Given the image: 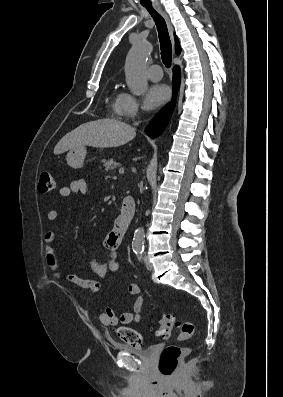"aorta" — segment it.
I'll use <instances>...</instances> for the list:
<instances>
[{"label":"aorta","mask_w":283,"mask_h":397,"mask_svg":"<svg viewBox=\"0 0 283 397\" xmlns=\"http://www.w3.org/2000/svg\"><path fill=\"white\" fill-rule=\"evenodd\" d=\"M152 46L148 42H138L130 49L125 63L126 83L130 91L140 96L148 89L146 76V62L151 53ZM144 244V230L139 227L135 230L132 248L141 251Z\"/></svg>","instance_id":"762f6f07"}]
</instances>
